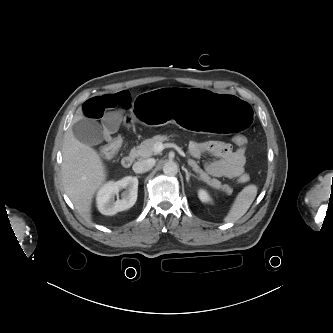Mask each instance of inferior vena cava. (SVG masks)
I'll return each mask as SVG.
<instances>
[{
    "label": "inferior vena cava",
    "mask_w": 333,
    "mask_h": 333,
    "mask_svg": "<svg viewBox=\"0 0 333 333\" xmlns=\"http://www.w3.org/2000/svg\"><path fill=\"white\" fill-rule=\"evenodd\" d=\"M155 165L154 159L139 160L133 164V171L135 173H145Z\"/></svg>",
    "instance_id": "1"
}]
</instances>
